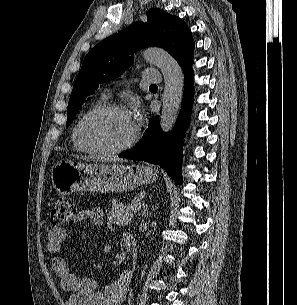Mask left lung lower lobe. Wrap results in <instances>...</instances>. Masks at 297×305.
<instances>
[{"mask_svg": "<svg viewBox=\"0 0 297 305\" xmlns=\"http://www.w3.org/2000/svg\"><path fill=\"white\" fill-rule=\"evenodd\" d=\"M185 72V94L179 119L170 133H164L159 125L158 117L152 119L142 140L136 146L119 157L143 160L161 166L177 183H182L181 176V140L188 125L193 98V72L191 63L181 65Z\"/></svg>", "mask_w": 297, "mask_h": 305, "instance_id": "1", "label": "left lung lower lobe"}]
</instances>
